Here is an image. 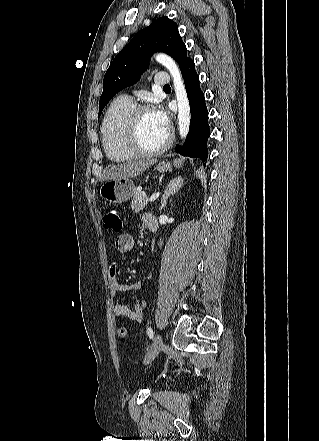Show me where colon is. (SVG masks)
Instances as JSON below:
<instances>
[{
    "label": "colon",
    "instance_id": "5ec220e1",
    "mask_svg": "<svg viewBox=\"0 0 319 441\" xmlns=\"http://www.w3.org/2000/svg\"><path fill=\"white\" fill-rule=\"evenodd\" d=\"M103 226L107 230L113 232H120L122 229V220L120 217V212L117 208L108 209L103 216ZM119 335L125 337L126 329L121 328L119 330Z\"/></svg>",
    "mask_w": 319,
    "mask_h": 441
}]
</instances>
